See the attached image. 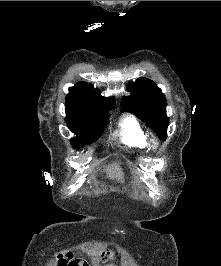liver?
Instances as JSON below:
<instances>
[{"instance_id": "1", "label": "liver", "mask_w": 221, "mask_h": 266, "mask_svg": "<svg viewBox=\"0 0 221 266\" xmlns=\"http://www.w3.org/2000/svg\"><path fill=\"white\" fill-rule=\"evenodd\" d=\"M105 172L110 179H116L121 182L124 181V173L122 172L119 163L114 162L111 165L106 166Z\"/></svg>"}]
</instances>
